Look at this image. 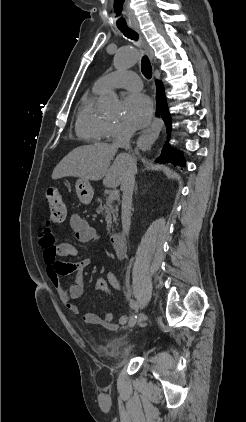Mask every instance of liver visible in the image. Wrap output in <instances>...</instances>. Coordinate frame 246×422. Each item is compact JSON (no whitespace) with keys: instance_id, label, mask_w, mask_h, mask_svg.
I'll use <instances>...</instances> for the list:
<instances>
[{"instance_id":"liver-1","label":"liver","mask_w":246,"mask_h":422,"mask_svg":"<svg viewBox=\"0 0 246 422\" xmlns=\"http://www.w3.org/2000/svg\"><path fill=\"white\" fill-rule=\"evenodd\" d=\"M116 153L117 147L106 143L78 147L55 167L52 179L68 176L88 181L103 179L106 187H117L122 184L127 174L129 161L127 155L122 153L117 155L110 165Z\"/></svg>"}]
</instances>
